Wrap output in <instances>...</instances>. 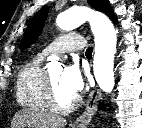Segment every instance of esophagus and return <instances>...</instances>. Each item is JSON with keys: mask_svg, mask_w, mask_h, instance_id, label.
Wrapping results in <instances>:
<instances>
[{"mask_svg": "<svg viewBox=\"0 0 142 128\" xmlns=\"http://www.w3.org/2000/svg\"><path fill=\"white\" fill-rule=\"evenodd\" d=\"M101 98V90L96 86L89 94L85 111L74 121V128H86L89 125L97 112V104Z\"/></svg>", "mask_w": 142, "mask_h": 128, "instance_id": "1", "label": "esophagus"}]
</instances>
